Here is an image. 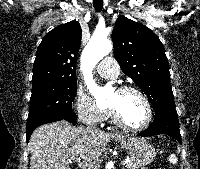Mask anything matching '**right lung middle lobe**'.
Here are the masks:
<instances>
[{
	"label": "right lung middle lobe",
	"mask_w": 200,
	"mask_h": 169,
	"mask_svg": "<svg viewBox=\"0 0 200 169\" xmlns=\"http://www.w3.org/2000/svg\"><path fill=\"white\" fill-rule=\"evenodd\" d=\"M77 80L60 85H43L32 89L28 118L38 115L72 113Z\"/></svg>",
	"instance_id": "1"
}]
</instances>
